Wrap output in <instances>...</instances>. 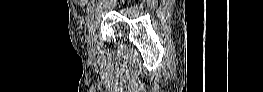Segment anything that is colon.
Wrapping results in <instances>:
<instances>
[{
  "label": "colon",
  "instance_id": "5ec220e1",
  "mask_svg": "<svg viewBox=\"0 0 263 92\" xmlns=\"http://www.w3.org/2000/svg\"><path fill=\"white\" fill-rule=\"evenodd\" d=\"M79 2H81V3H83V4H87V3H90V2H93V1L81 0V1H79Z\"/></svg>",
  "mask_w": 263,
  "mask_h": 92
}]
</instances>
